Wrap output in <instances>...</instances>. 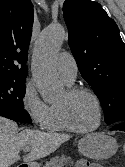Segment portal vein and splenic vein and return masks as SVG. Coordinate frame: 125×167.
Wrapping results in <instances>:
<instances>
[{
	"label": "portal vein and splenic vein",
	"mask_w": 125,
	"mask_h": 167,
	"mask_svg": "<svg viewBox=\"0 0 125 167\" xmlns=\"http://www.w3.org/2000/svg\"><path fill=\"white\" fill-rule=\"evenodd\" d=\"M29 150H30V147H24V148H23V151H24V152H29ZM59 167H62V165L59 166Z\"/></svg>",
	"instance_id": "obj_1"
}]
</instances>
